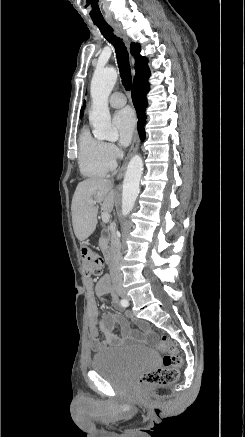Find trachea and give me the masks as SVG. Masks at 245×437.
Segmentation results:
<instances>
[{"mask_svg": "<svg viewBox=\"0 0 245 437\" xmlns=\"http://www.w3.org/2000/svg\"><path fill=\"white\" fill-rule=\"evenodd\" d=\"M102 35L114 45L122 84L127 91L131 89L132 76L129 63V54L125 44L113 34V28L105 21H93Z\"/></svg>", "mask_w": 245, "mask_h": 437, "instance_id": "1", "label": "trachea"}]
</instances>
